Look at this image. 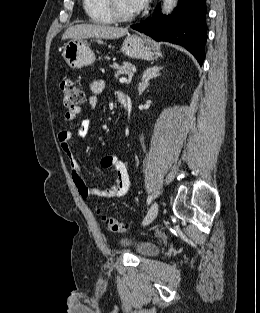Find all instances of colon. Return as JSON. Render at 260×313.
<instances>
[{
    "mask_svg": "<svg viewBox=\"0 0 260 313\" xmlns=\"http://www.w3.org/2000/svg\"><path fill=\"white\" fill-rule=\"evenodd\" d=\"M60 89L63 96L64 106L69 110L79 108V106L84 102L85 98L83 90L73 78L64 77L61 80ZM102 219L106 223L109 230L115 233L124 232L128 227L126 223L104 214L102 215Z\"/></svg>",
    "mask_w": 260,
    "mask_h": 313,
    "instance_id": "colon-1",
    "label": "colon"
}]
</instances>
